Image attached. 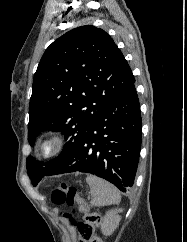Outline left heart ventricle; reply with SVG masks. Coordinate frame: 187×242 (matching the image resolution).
Here are the masks:
<instances>
[{"instance_id":"obj_1","label":"left heart ventricle","mask_w":187,"mask_h":242,"mask_svg":"<svg viewBox=\"0 0 187 242\" xmlns=\"http://www.w3.org/2000/svg\"><path fill=\"white\" fill-rule=\"evenodd\" d=\"M51 148H52V147H51L50 145H48V146H46L45 150H46V151H50Z\"/></svg>"}]
</instances>
